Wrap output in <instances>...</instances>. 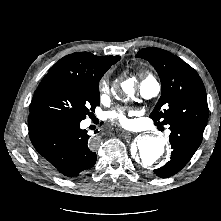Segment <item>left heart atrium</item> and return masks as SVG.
I'll use <instances>...</instances> for the list:
<instances>
[{
    "label": "left heart atrium",
    "instance_id": "39dd6f15",
    "mask_svg": "<svg viewBox=\"0 0 221 221\" xmlns=\"http://www.w3.org/2000/svg\"><path fill=\"white\" fill-rule=\"evenodd\" d=\"M131 112L129 109L125 108H116L109 113V118L112 122L127 127L130 124V120L128 118V114Z\"/></svg>",
    "mask_w": 221,
    "mask_h": 221
}]
</instances>
